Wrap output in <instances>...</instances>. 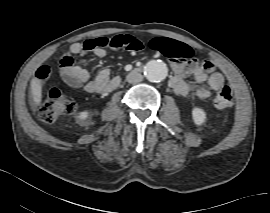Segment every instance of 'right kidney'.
<instances>
[{
	"mask_svg": "<svg viewBox=\"0 0 270 213\" xmlns=\"http://www.w3.org/2000/svg\"><path fill=\"white\" fill-rule=\"evenodd\" d=\"M88 117V111H83L79 114L80 120H85Z\"/></svg>",
	"mask_w": 270,
	"mask_h": 213,
	"instance_id": "ca27d5eb",
	"label": "right kidney"
}]
</instances>
